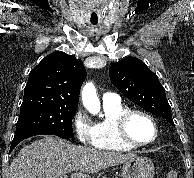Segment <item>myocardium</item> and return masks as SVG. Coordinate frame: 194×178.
<instances>
[{"label":"myocardium","instance_id":"obj_1","mask_svg":"<svg viewBox=\"0 0 194 178\" xmlns=\"http://www.w3.org/2000/svg\"><path fill=\"white\" fill-rule=\"evenodd\" d=\"M136 114L147 118L154 127L155 134L153 139L150 140L149 142H137L134 139H132L128 133V130H127L128 121L131 118V116ZM115 130H116L118 139L122 143L135 148L149 146L155 143L159 137V126L156 119L149 112L141 109H126L125 111H123L115 120Z\"/></svg>","mask_w":194,"mask_h":178}]
</instances>
